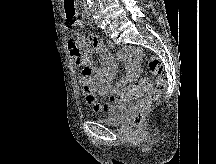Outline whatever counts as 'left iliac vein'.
<instances>
[{
    "instance_id": "left-iliac-vein-1",
    "label": "left iliac vein",
    "mask_w": 216,
    "mask_h": 164,
    "mask_svg": "<svg viewBox=\"0 0 216 164\" xmlns=\"http://www.w3.org/2000/svg\"><path fill=\"white\" fill-rule=\"evenodd\" d=\"M104 33H105V35L110 36L111 30H110L109 26H106V28L104 29Z\"/></svg>"
}]
</instances>
